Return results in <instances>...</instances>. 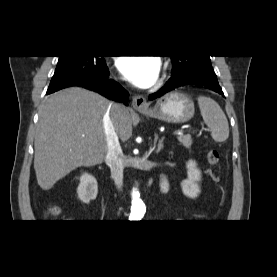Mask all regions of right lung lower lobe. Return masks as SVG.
<instances>
[{
    "label": "right lung lower lobe",
    "mask_w": 277,
    "mask_h": 277,
    "mask_svg": "<svg viewBox=\"0 0 277 277\" xmlns=\"http://www.w3.org/2000/svg\"><path fill=\"white\" fill-rule=\"evenodd\" d=\"M108 76H109V71L107 73V76L98 82H94L91 80L79 81V82L71 84L67 87L83 86L89 90H94V91L98 92L99 94L104 95L113 100H116L119 102H124V104L127 105L129 93L123 87H121L117 82H115L113 80H109ZM64 88H66V87H64ZM61 89H63V88L56 89V90H48L47 94H51V93L56 92Z\"/></svg>",
    "instance_id": "right-lung-lower-lobe-1"
}]
</instances>
